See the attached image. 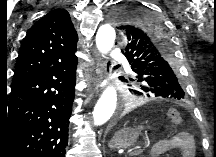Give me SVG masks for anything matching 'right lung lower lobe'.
<instances>
[{
  "label": "right lung lower lobe",
  "mask_w": 216,
  "mask_h": 157,
  "mask_svg": "<svg viewBox=\"0 0 216 157\" xmlns=\"http://www.w3.org/2000/svg\"><path fill=\"white\" fill-rule=\"evenodd\" d=\"M77 59L11 87L0 113V157H65Z\"/></svg>",
  "instance_id": "obj_1"
}]
</instances>
